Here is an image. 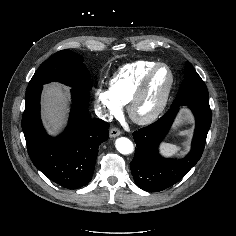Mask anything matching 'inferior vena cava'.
<instances>
[{"label":"inferior vena cava","instance_id":"inferior-vena-cava-1","mask_svg":"<svg viewBox=\"0 0 236 236\" xmlns=\"http://www.w3.org/2000/svg\"><path fill=\"white\" fill-rule=\"evenodd\" d=\"M95 114L97 115L98 118H101L103 120H110L111 119V115L110 114H107L105 113L103 110H102V107L100 106H97L95 108Z\"/></svg>","mask_w":236,"mask_h":236}]
</instances>
